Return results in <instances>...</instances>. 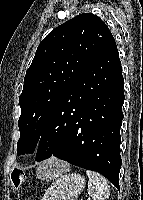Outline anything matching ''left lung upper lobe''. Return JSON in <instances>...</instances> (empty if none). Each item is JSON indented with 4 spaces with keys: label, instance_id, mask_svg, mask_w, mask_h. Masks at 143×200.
I'll return each instance as SVG.
<instances>
[{
    "label": "left lung upper lobe",
    "instance_id": "1",
    "mask_svg": "<svg viewBox=\"0 0 143 200\" xmlns=\"http://www.w3.org/2000/svg\"><path fill=\"white\" fill-rule=\"evenodd\" d=\"M113 39L107 25L85 13L52 30L39 44L19 97L17 154L31 153L52 113L61 121L60 101L87 66Z\"/></svg>",
    "mask_w": 143,
    "mask_h": 200
}]
</instances>
